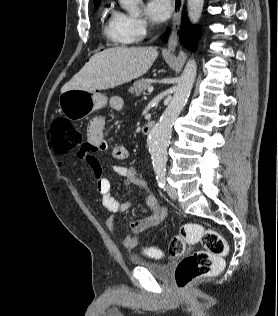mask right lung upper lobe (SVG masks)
Wrapping results in <instances>:
<instances>
[{"instance_id":"cb5924a9","label":"right lung upper lobe","mask_w":278,"mask_h":316,"mask_svg":"<svg viewBox=\"0 0 278 316\" xmlns=\"http://www.w3.org/2000/svg\"><path fill=\"white\" fill-rule=\"evenodd\" d=\"M100 0H94V3L99 2Z\"/></svg>"}]
</instances>
